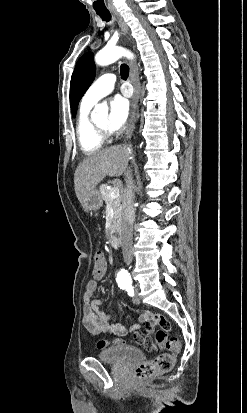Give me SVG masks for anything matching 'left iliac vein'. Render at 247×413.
I'll list each match as a JSON object with an SVG mask.
<instances>
[{
  "mask_svg": "<svg viewBox=\"0 0 247 413\" xmlns=\"http://www.w3.org/2000/svg\"><path fill=\"white\" fill-rule=\"evenodd\" d=\"M139 298L135 295L134 297H133V303L134 304H139Z\"/></svg>",
  "mask_w": 247,
  "mask_h": 413,
  "instance_id": "left-iliac-vein-1",
  "label": "left iliac vein"
}]
</instances>
